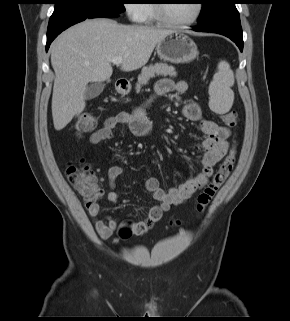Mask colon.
I'll list each match as a JSON object with an SVG mask.
<instances>
[{"instance_id": "1", "label": "colon", "mask_w": 290, "mask_h": 321, "mask_svg": "<svg viewBox=\"0 0 290 321\" xmlns=\"http://www.w3.org/2000/svg\"><path fill=\"white\" fill-rule=\"evenodd\" d=\"M223 121L229 126H236L238 116L235 111H230L222 115ZM96 127L95 118L88 114H82L77 123L76 131L79 134H86ZM236 151L233 149L221 163L219 169L213 176L197 198V210L203 212L215 197L218 190L225 183L231 174L235 163ZM68 182L73 186L77 194L82 198L86 206L93 205L102 195V190L97 184L96 176L89 165L83 160L75 164H69L65 171ZM178 224V222H174ZM119 234L122 238H128L135 234L133 223L127 222L120 226Z\"/></svg>"}]
</instances>
